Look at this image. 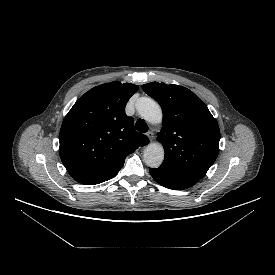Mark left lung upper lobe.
<instances>
[{"label": "left lung upper lobe", "instance_id": "left-lung-upper-lobe-1", "mask_svg": "<svg viewBox=\"0 0 275 275\" xmlns=\"http://www.w3.org/2000/svg\"><path fill=\"white\" fill-rule=\"evenodd\" d=\"M143 90L163 110V127L157 140L163 145L162 166L200 180L219 153L220 131L205 103L189 89L152 82Z\"/></svg>", "mask_w": 275, "mask_h": 275}]
</instances>
